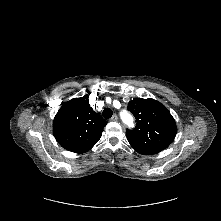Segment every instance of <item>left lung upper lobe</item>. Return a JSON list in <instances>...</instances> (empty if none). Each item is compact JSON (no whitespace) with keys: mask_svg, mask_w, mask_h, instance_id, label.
<instances>
[{"mask_svg":"<svg viewBox=\"0 0 221 221\" xmlns=\"http://www.w3.org/2000/svg\"><path fill=\"white\" fill-rule=\"evenodd\" d=\"M128 110L136 118L135 128L126 132L134 150L143 155H152L172 143L177 127L164 105L154 99L134 98L128 103Z\"/></svg>","mask_w":221,"mask_h":221,"instance_id":"obj_1","label":"left lung upper lobe"}]
</instances>
